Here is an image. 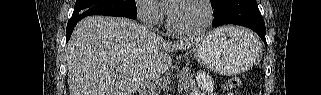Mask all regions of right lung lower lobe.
<instances>
[{
	"mask_svg": "<svg viewBox=\"0 0 321 95\" xmlns=\"http://www.w3.org/2000/svg\"><path fill=\"white\" fill-rule=\"evenodd\" d=\"M121 17H125V16H121ZM84 17H72L67 24V31H66V42L70 39L71 33L75 27V25ZM129 18V17H128Z\"/></svg>",
	"mask_w": 321,
	"mask_h": 95,
	"instance_id": "obj_1",
	"label": "right lung lower lobe"
}]
</instances>
